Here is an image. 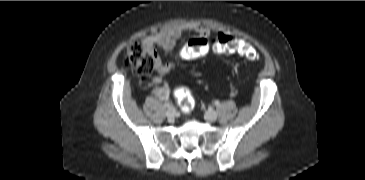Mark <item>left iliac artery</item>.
<instances>
[{"label": "left iliac artery", "instance_id": "44dca946", "mask_svg": "<svg viewBox=\"0 0 365 180\" xmlns=\"http://www.w3.org/2000/svg\"><path fill=\"white\" fill-rule=\"evenodd\" d=\"M215 105L219 106L220 105L219 101H215Z\"/></svg>", "mask_w": 365, "mask_h": 180}]
</instances>
